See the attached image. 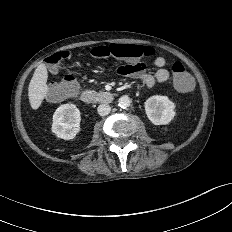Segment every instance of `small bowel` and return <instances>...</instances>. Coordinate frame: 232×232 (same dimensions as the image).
<instances>
[{"mask_svg":"<svg viewBox=\"0 0 232 232\" xmlns=\"http://www.w3.org/2000/svg\"><path fill=\"white\" fill-rule=\"evenodd\" d=\"M154 65L157 70L154 74L146 71L145 65L141 63L138 68L121 66L117 68V73L120 75L130 76L133 78L141 79L144 85L151 89L156 83H164L168 81L170 77L169 71L165 68L166 60L162 56H158L154 59ZM55 72V71H53Z\"/></svg>","mask_w":232,"mask_h":232,"instance_id":"c3829d8e","label":"small bowel"}]
</instances>
